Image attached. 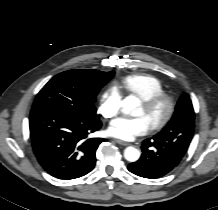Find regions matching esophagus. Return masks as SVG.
<instances>
[{
    "instance_id": "1",
    "label": "esophagus",
    "mask_w": 218,
    "mask_h": 210,
    "mask_svg": "<svg viewBox=\"0 0 218 210\" xmlns=\"http://www.w3.org/2000/svg\"><path fill=\"white\" fill-rule=\"evenodd\" d=\"M115 142L118 143L119 145H122V146L130 145V143L122 141V140H119V139H115Z\"/></svg>"
}]
</instances>
